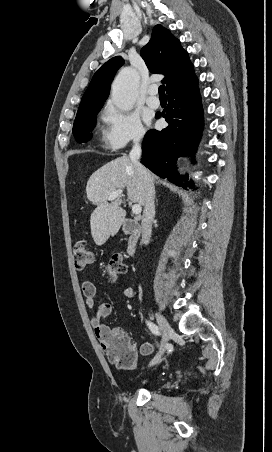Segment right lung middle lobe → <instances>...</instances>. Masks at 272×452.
<instances>
[{"instance_id":"obj_1","label":"right lung middle lobe","mask_w":272,"mask_h":452,"mask_svg":"<svg viewBox=\"0 0 272 452\" xmlns=\"http://www.w3.org/2000/svg\"><path fill=\"white\" fill-rule=\"evenodd\" d=\"M102 106H93L79 110L73 125V134L77 142H87L96 123V115Z\"/></svg>"}]
</instances>
